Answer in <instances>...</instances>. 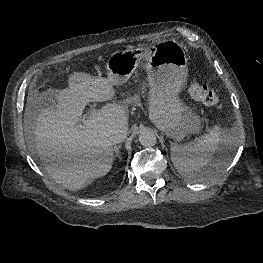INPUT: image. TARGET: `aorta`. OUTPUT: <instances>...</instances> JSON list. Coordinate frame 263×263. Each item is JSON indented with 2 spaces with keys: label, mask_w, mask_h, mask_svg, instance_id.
<instances>
[{
  "label": "aorta",
  "mask_w": 263,
  "mask_h": 263,
  "mask_svg": "<svg viewBox=\"0 0 263 263\" xmlns=\"http://www.w3.org/2000/svg\"><path fill=\"white\" fill-rule=\"evenodd\" d=\"M139 142L144 147H153L157 142V138L152 131L146 130L140 133Z\"/></svg>",
  "instance_id": "aorta-1"
}]
</instances>
